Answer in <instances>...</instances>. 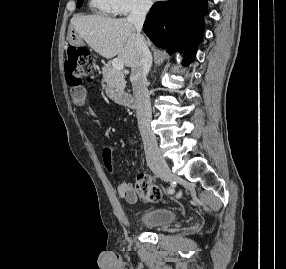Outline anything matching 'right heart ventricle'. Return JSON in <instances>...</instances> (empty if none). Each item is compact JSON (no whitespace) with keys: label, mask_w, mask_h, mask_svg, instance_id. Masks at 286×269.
<instances>
[{"label":"right heart ventricle","mask_w":286,"mask_h":269,"mask_svg":"<svg viewBox=\"0 0 286 269\" xmlns=\"http://www.w3.org/2000/svg\"><path fill=\"white\" fill-rule=\"evenodd\" d=\"M89 7L92 11L102 15H113L115 13L112 0H89Z\"/></svg>","instance_id":"obj_1"}]
</instances>
